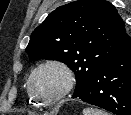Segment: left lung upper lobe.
Here are the masks:
<instances>
[{
  "instance_id": "left-lung-upper-lobe-1",
  "label": "left lung upper lobe",
  "mask_w": 131,
  "mask_h": 115,
  "mask_svg": "<svg viewBox=\"0 0 131 115\" xmlns=\"http://www.w3.org/2000/svg\"><path fill=\"white\" fill-rule=\"evenodd\" d=\"M130 41L122 18L105 0H78L58 7L32 33L31 60H58L75 73L78 96Z\"/></svg>"
}]
</instances>
